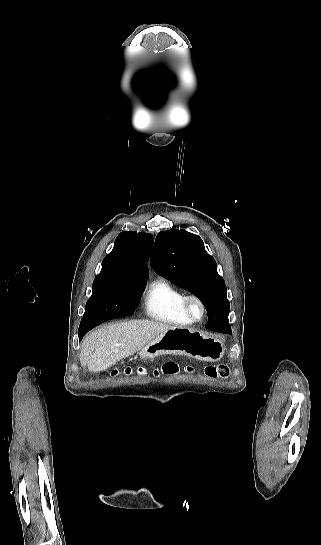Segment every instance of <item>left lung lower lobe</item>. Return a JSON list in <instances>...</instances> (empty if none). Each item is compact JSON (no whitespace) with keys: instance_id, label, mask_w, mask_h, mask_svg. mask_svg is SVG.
<instances>
[{"instance_id":"obj_1","label":"left lung lower lobe","mask_w":321,"mask_h":545,"mask_svg":"<svg viewBox=\"0 0 321 545\" xmlns=\"http://www.w3.org/2000/svg\"><path fill=\"white\" fill-rule=\"evenodd\" d=\"M207 312L209 318L206 324L207 329L217 332H227L230 330L228 315L219 310H207Z\"/></svg>"}]
</instances>
